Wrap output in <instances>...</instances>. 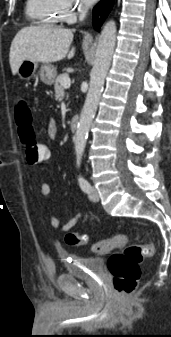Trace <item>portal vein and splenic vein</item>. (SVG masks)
Here are the masks:
<instances>
[{
    "label": "portal vein and splenic vein",
    "mask_w": 171,
    "mask_h": 337,
    "mask_svg": "<svg viewBox=\"0 0 171 337\" xmlns=\"http://www.w3.org/2000/svg\"><path fill=\"white\" fill-rule=\"evenodd\" d=\"M61 83H62V85H63L64 88H69L70 85H71V80H70L69 76L64 77L62 79Z\"/></svg>",
    "instance_id": "obj_1"
}]
</instances>
